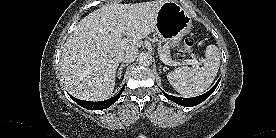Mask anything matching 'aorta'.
Here are the masks:
<instances>
[{
	"instance_id": "1",
	"label": "aorta",
	"mask_w": 276,
	"mask_h": 138,
	"mask_svg": "<svg viewBox=\"0 0 276 138\" xmlns=\"http://www.w3.org/2000/svg\"><path fill=\"white\" fill-rule=\"evenodd\" d=\"M152 55L149 53H142L139 57V63L143 66H149L152 64Z\"/></svg>"
}]
</instances>
